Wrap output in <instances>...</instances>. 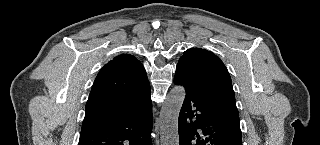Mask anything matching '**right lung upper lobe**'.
I'll use <instances>...</instances> for the list:
<instances>
[{"mask_svg":"<svg viewBox=\"0 0 320 145\" xmlns=\"http://www.w3.org/2000/svg\"><path fill=\"white\" fill-rule=\"evenodd\" d=\"M150 90L143 65L132 55L121 54L98 73L85 107L83 122L124 112Z\"/></svg>","mask_w":320,"mask_h":145,"instance_id":"cb5924a9","label":"right lung upper lobe"}]
</instances>
